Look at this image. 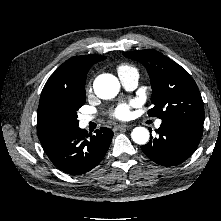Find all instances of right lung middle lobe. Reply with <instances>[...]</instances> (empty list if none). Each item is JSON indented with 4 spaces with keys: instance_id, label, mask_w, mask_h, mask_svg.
<instances>
[{
    "instance_id": "obj_1",
    "label": "right lung middle lobe",
    "mask_w": 221,
    "mask_h": 221,
    "mask_svg": "<svg viewBox=\"0 0 221 221\" xmlns=\"http://www.w3.org/2000/svg\"><path fill=\"white\" fill-rule=\"evenodd\" d=\"M85 92L81 94H55L41 106V118L52 131L65 133L78 128L77 111L85 104Z\"/></svg>"
}]
</instances>
